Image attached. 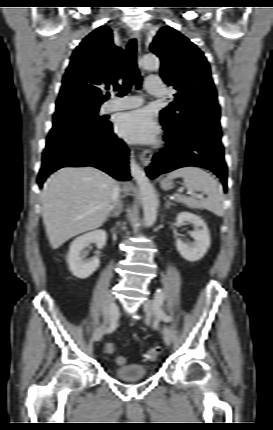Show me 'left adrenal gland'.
<instances>
[{
    "label": "left adrenal gland",
    "instance_id": "left-adrenal-gland-1",
    "mask_svg": "<svg viewBox=\"0 0 273 430\" xmlns=\"http://www.w3.org/2000/svg\"><path fill=\"white\" fill-rule=\"evenodd\" d=\"M171 205H172V203H170L169 201H167V203H166V205H165V208H166V209H169Z\"/></svg>",
    "mask_w": 273,
    "mask_h": 430
}]
</instances>
